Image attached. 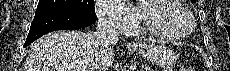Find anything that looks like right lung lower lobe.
Returning a JSON list of instances; mask_svg holds the SVG:
<instances>
[{
  "label": "right lung lower lobe",
  "instance_id": "1",
  "mask_svg": "<svg viewBox=\"0 0 230 71\" xmlns=\"http://www.w3.org/2000/svg\"><path fill=\"white\" fill-rule=\"evenodd\" d=\"M97 17L70 10H53L36 13L24 47L46 33L55 30H76L93 24Z\"/></svg>",
  "mask_w": 230,
  "mask_h": 71
}]
</instances>
